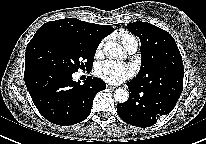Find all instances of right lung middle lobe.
Instances as JSON below:
<instances>
[{
	"label": "right lung middle lobe",
	"mask_w": 206,
	"mask_h": 144,
	"mask_svg": "<svg viewBox=\"0 0 206 144\" xmlns=\"http://www.w3.org/2000/svg\"><path fill=\"white\" fill-rule=\"evenodd\" d=\"M98 45L64 32L38 30L26 47L25 70L48 68L73 74L91 67Z\"/></svg>",
	"instance_id": "dd1d6c3e"
}]
</instances>
